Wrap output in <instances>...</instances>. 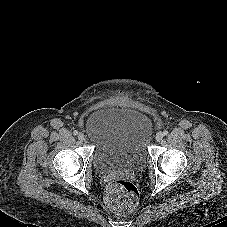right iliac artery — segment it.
Returning <instances> with one entry per match:
<instances>
[{
	"label": "right iliac artery",
	"instance_id": "right-iliac-artery-1",
	"mask_svg": "<svg viewBox=\"0 0 227 227\" xmlns=\"http://www.w3.org/2000/svg\"><path fill=\"white\" fill-rule=\"evenodd\" d=\"M73 134H74V135H77V134H78V131H77V130H74V131H73Z\"/></svg>",
	"mask_w": 227,
	"mask_h": 227
}]
</instances>
